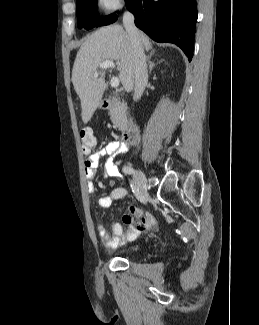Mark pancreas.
<instances>
[{
	"label": "pancreas",
	"instance_id": "pancreas-1",
	"mask_svg": "<svg viewBox=\"0 0 259 325\" xmlns=\"http://www.w3.org/2000/svg\"><path fill=\"white\" fill-rule=\"evenodd\" d=\"M109 115L115 127H117L120 131L126 130L128 125L126 106L118 98H113Z\"/></svg>",
	"mask_w": 259,
	"mask_h": 325
}]
</instances>
